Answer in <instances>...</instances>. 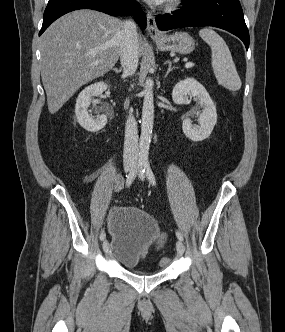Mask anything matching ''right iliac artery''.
Wrapping results in <instances>:
<instances>
[{
    "label": "right iliac artery",
    "instance_id": "1",
    "mask_svg": "<svg viewBox=\"0 0 285 332\" xmlns=\"http://www.w3.org/2000/svg\"><path fill=\"white\" fill-rule=\"evenodd\" d=\"M143 165V161L138 160L134 166V168L129 172L128 175H126V186H130L132 184V182L134 181L137 172L139 171V169L142 167ZM106 237L105 232H101L100 234V240H104Z\"/></svg>",
    "mask_w": 285,
    "mask_h": 332
}]
</instances>
